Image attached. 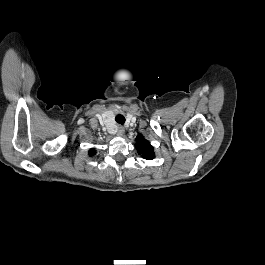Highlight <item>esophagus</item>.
I'll use <instances>...</instances> for the list:
<instances>
[{"mask_svg": "<svg viewBox=\"0 0 265 265\" xmlns=\"http://www.w3.org/2000/svg\"><path fill=\"white\" fill-rule=\"evenodd\" d=\"M124 127H122V126H118L117 127V134L119 135V136H122L123 134H124Z\"/></svg>", "mask_w": 265, "mask_h": 265, "instance_id": "esophagus-1", "label": "esophagus"}]
</instances>
